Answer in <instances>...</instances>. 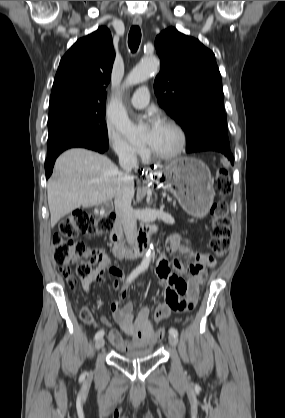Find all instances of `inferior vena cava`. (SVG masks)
<instances>
[{"label": "inferior vena cava", "instance_id": "inferior-vena-cava-1", "mask_svg": "<svg viewBox=\"0 0 285 418\" xmlns=\"http://www.w3.org/2000/svg\"><path fill=\"white\" fill-rule=\"evenodd\" d=\"M119 164L122 172L118 175L117 193L115 195V212L123 225L125 236L129 245H133L137 239V221L131 207L134 197V181L130 173L138 168V160L133 149L127 146L117 148Z\"/></svg>", "mask_w": 285, "mask_h": 418}]
</instances>
